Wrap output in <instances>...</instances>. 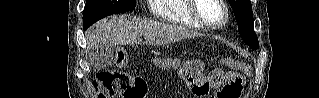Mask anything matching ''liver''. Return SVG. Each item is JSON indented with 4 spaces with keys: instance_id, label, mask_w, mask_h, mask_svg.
<instances>
[{
    "instance_id": "1",
    "label": "liver",
    "mask_w": 319,
    "mask_h": 98,
    "mask_svg": "<svg viewBox=\"0 0 319 98\" xmlns=\"http://www.w3.org/2000/svg\"><path fill=\"white\" fill-rule=\"evenodd\" d=\"M150 45L158 46L201 36L199 33L175 24H165L119 16L102 20L89 28L86 33L87 49L91 51L100 45L141 44V37Z\"/></svg>"
}]
</instances>
